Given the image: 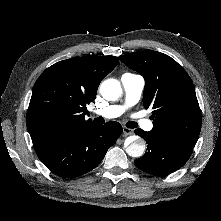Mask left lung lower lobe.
Listing matches in <instances>:
<instances>
[{
    "label": "left lung lower lobe",
    "instance_id": "1",
    "mask_svg": "<svg viewBox=\"0 0 221 221\" xmlns=\"http://www.w3.org/2000/svg\"><path fill=\"white\" fill-rule=\"evenodd\" d=\"M135 134L146 140L147 152L134 164L153 175H168L181 168L189 159L193 148L168 141L151 132L136 129Z\"/></svg>",
    "mask_w": 221,
    "mask_h": 221
}]
</instances>
